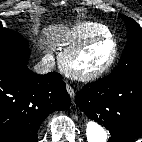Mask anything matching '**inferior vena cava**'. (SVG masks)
<instances>
[{
	"label": "inferior vena cava",
	"mask_w": 142,
	"mask_h": 142,
	"mask_svg": "<svg viewBox=\"0 0 142 142\" xmlns=\"http://www.w3.org/2000/svg\"><path fill=\"white\" fill-rule=\"evenodd\" d=\"M55 67L54 59L45 58L42 59L34 66V71L38 74H47L51 72Z\"/></svg>",
	"instance_id": "1"
}]
</instances>
